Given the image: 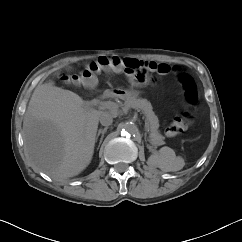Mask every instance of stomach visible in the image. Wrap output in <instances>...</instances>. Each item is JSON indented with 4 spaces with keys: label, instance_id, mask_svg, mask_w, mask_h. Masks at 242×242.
Wrapping results in <instances>:
<instances>
[{
    "label": "stomach",
    "instance_id": "obj_1",
    "mask_svg": "<svg viewBox=\"0 0 242 242\" xmlns=\"http://www.w3.org/2000/svg\"><path fill=\"white\" fill-rule=\"evenodd\" d=\"M119 96L123 99H128L130 97H137L139 95V91L133 89L121 90Z\"/></svg>",
    "mask_w": 242,
    "mask_h": 242
}]
</instances>
